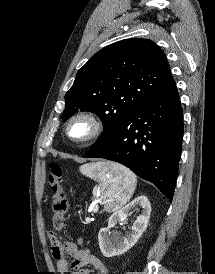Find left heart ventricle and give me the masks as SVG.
Listing matches in <instances>:
<instances>
[{"label": "left heart ventricle", "mask_w": 215, "mask_h": 274, "mask_svg": "<svg viewBox=\"0 0 215 274\" xmlns=\"http://www.w3.org/2000/svg\"><path fill=\"white\" fill-rule=\"evenodd\" d=\"M89 127L88 125L83 122L79 121L74 123L70 128V134L74 138H81L88 133Z\"/></svg>", "instance_id": "b2bd125f"}]
</instances>
